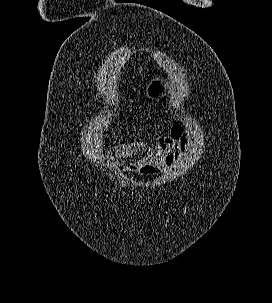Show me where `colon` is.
<instances>
[{
    "mask_svg": "<svg viewBox=\"0 0 272 303\" xmlns=\"http://www.w3.org/2000/svg\"><path fill=\"white\" fill-rule=\"evenodd\" d=\"M144 172L146 174H150L153 172V167L152 166H147L145 169H144Z\"/></svg>",
    "mask_w": 272,
    "mask_h": 303,
    "instance_id": "5ec220e1",
    "label": "colon"
}]
</instances>
